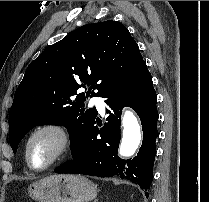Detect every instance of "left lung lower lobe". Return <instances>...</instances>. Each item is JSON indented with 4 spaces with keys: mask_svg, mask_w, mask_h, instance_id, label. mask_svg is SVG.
Segmentation results:
<instances>
[{
    "mask_svg": "<svg viewBox=\"0 0 209 202\" xmlns=\"http://www.w3.org/2000/svg\"><path fill=\"white\" fill-rule=\"evenodd\" d=\"M102 97L108 105L107 123L99 128L97 125L100 124L95 117L83 138L71 147L73 159L58 167L55 173L117 176L136 183L147 191L153 179L158 112L157 96L146 63L114 85ZM124 106L133 108L140 115L143 130L142 146L138 155L131 160H122L117 156L121 110ZM148 195L146 193L147 197Z\"/></svg>",
    "mask_w": 209,
    "mask_h": 202,
    "instance_id": "left-lung-lower-lobe-1",
    "label": "left lung lower lobe"
}]
</instances>
